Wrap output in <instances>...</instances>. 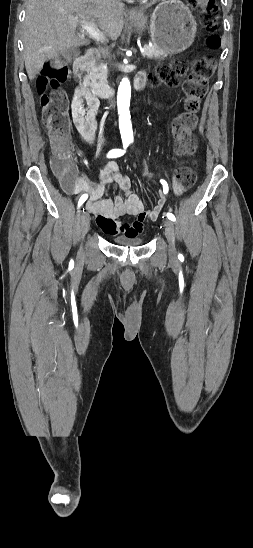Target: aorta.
<instances>
[{"label":"aorta","mask_w":253,"mask_h":548,"mask_svg":"<svg viewBox=\"0 0 253 548\" xmlns=\"http://www.w3.org/2000/svg\"><path fill=\"white\" fill-rule=\"evenodd\" d=\"M130 97H131V85L128 78H123L120 82L117 94L118 111L120 114L119 126L122 138L131 139L133 132L130 123Z\"/></svg>","instance_id":"aorta-1"}]
</instances>
